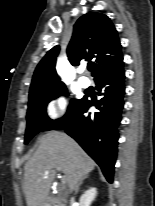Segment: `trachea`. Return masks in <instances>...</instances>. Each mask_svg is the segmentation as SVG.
<instances>
[{
	"label": "trachea",
	"mask_w": 155,
	"mask_h": 206,
	"mask_svg": "<svg viewBox=\"0 0 155 206\" xmlns=\"http://www.w3.org/2000/svg\"><path fill=\"white\" fill-rule=\"evenodd\" d=\"M88 70L91 71V70H92V67H88Z\"/></svg>",
	"instance_id": "1"
}]
</instances>
